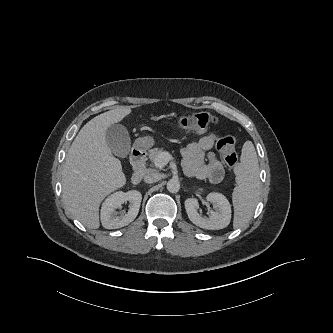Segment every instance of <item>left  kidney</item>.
<instances>
[{
	"mask_svg": "<svg viewBox=\"0 0 333 333\" xmlns=\"http://www.w3.org/2000/svg\"><path fill=\"white\" fill-rule=\"evenodd\" d=\"M207 200L213 203L217 210L211 212L209 218L202 217L197 212L199 206L196 198H188L185 200V209L190 221L203 229L219 230L227 227L231 220V205L227 198L217 192H212L207 195Z\"/></svg>",
	"mask_w": 333,
	"mask_h": 333,
	"instance_id": "1",
	"label": "left kidney"
}]
</instances>
